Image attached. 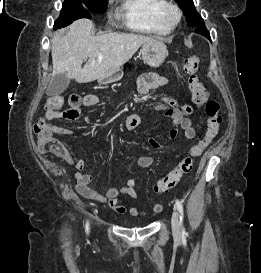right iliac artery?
<instances>
[{"instance_id":"right-iliac-artery-1","label":"right iliac artery","mask_w":261,"mask_h":273,"mask_svg":"<svg viewBox=\"0 0 261 273\" xmlns=\"http://www.w3.org/2000/svg\"><path fill=\"white\" fill-rule=\"evenodd\" d=\"M86 233L88 234L89 233V223L86 222Z\"/></svg>"}]
</instances>
